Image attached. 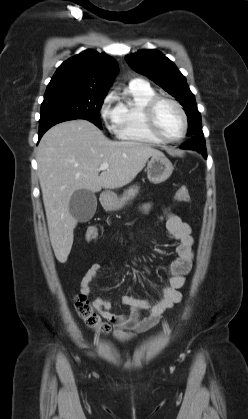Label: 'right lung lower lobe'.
<instances>
[{
    "instance_id": "obj_1",
    "label": "right lung lower lobe",
    "mask_w": 248,
    "mask_h": 419,
    "mask_svg": "<svg viewBox=\"0 0 248 419\" xmlns=\"http://www.w3.org/2000/svg\"><path fill=\"white\" fill-rule=\"evenodd\" d=\"M74 119H83V118L78 117V116H72V115H64V116L52 117L41 122L39 125V140L43 136V134L53 125L63 122V121L74 120Z\"/></svg>"
}]
</instances>
